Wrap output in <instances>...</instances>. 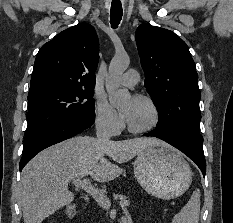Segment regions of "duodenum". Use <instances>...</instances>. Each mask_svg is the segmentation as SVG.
Listing matches in <instances>:
<instances>
[{"instance_id":"410a0bca","label":"duodenum","mask_w":233,"mask_h":223,"mask_svg":"<svg viewBox=\"0 0 233 223\" xmlns=\"http://www.w3.org/2000/svg\"><path fill=\"white\" fill-rule=\"evenodd\" d=\"M76 211H77V204L72 203V204L68 205L66 208V214H67L68 218H70V219L74 218ZM120 223H127V221L125 219H122Z\"/></svg>"}]
</instances>
